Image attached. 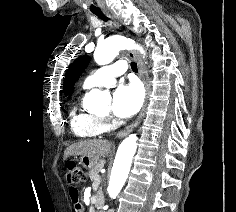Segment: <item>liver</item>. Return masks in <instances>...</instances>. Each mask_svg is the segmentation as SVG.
<instances>
[{"label":"liver","instance_id":"6515ba94","mask_svg":"<svg viewBox=\"0 0 236 212\" xmlns=\"http://www.w3.org/2000/svg\"><path fill=\"white\" fill-rule=\"evenodd\" d=\"M111 149V143L102 139H88L70 145L64 152V160L73 155H89L96 158L106 157Z\"/></svg>","mask_w":236,"mask_h":212}]
</instances>
